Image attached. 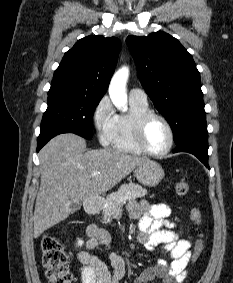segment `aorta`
I'll list each match as a JSON object with an SVG mask.
<instances>
[{"instance_id": "aorta-1", "label": "aorta", "mask_w": 233, "mask_h": 283, "mask_svg": "<svg viewBox=\"0 0 233 283\" xmlns=\"http://www.w3.org/2000/svg\"><path fill=\"white\" fill-rule=\"evenodd\" d=\"M129 76L128 67L120 68L112 77L109 85V96L113 104L123 111H127L126 83Z\"/></svg>"}]
</instances>
